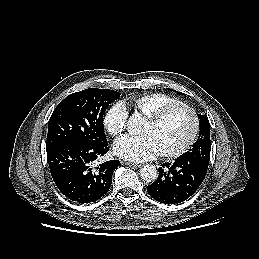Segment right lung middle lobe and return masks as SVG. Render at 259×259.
<instances>
[{"mask_svg":"<svg viewBox=\"0 0 259 259\" xmlns=\"http://www.w3.org/2000/svg\"><path fill=\"white\" fill-rule=\"evenodd\" d=\"M121 93L90 88L72 93L55 108L48 124L46 150L64 143H107L103 114Z\"/></svg>","mask_w":259,"mask_h":259,"instance_id":"dd1d6c3e","label":"right lung middle lobe"}]
</instances>
